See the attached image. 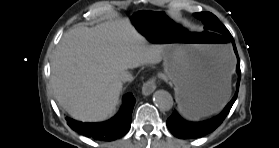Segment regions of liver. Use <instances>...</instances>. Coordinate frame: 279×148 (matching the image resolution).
I'll return each mask as SVG.
<instances>
[{
	"instance_id": "1",
	"label": "liver",
	"mask_w": 279,
	"mask_h": 148,
	"mask_svg": "<svg viewBox=\"0 0 279 148\" xmlns=\"http://www.w3.org/2000/svg\"><path fill=\"white\" fill-rule=\"evenodd\" d=\"M163 47L150 44L128 19L94 28L79 26L63 35L51 62V88L74 119L103 121L119 100L123 71L157 64Z\"/></svg>"
}]
</instances>
